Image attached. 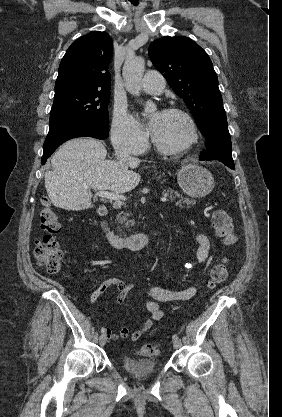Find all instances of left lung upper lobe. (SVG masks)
<instances>
[{
  "instance_id": "5c2ea615",
  "label": "left lung upper lobe",
  "mask_w": 282,
  "mask_h": 417,
  "mask_svg": "<svg viewBox=\"0 0 282 417\" xmlns=\"http://www.w3.org/2000/svg\"><path fill=\"white\" fill-rule=\"evenodd\" d=\"M149 57L183 98L204 134L217 121L226 120L218 78L207 53L184 36H166L149 46Z\"/></svg>"
}]
</instances>
